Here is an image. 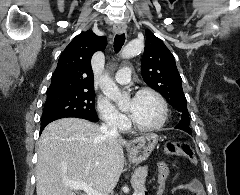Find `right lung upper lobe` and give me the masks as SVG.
I'll use <instances>...</instances> for the list:
<instances>
[{"instance_id":"right-lung-upper-lobe-1","label":"right lung upper lobe","mask_w":240,"mask_h":195,"mask_svg":"<svg viewBox=\"0 0 240 195\" xmlns=\"http://www.w3.org/2000/svg\"><path fill=\"white\" fill-rule=\"evenodd\" d=\"M106 38L91 30L83 32L69 43L59 57L47 95L68 91H94L91 57L104 50Z\"/></svg>"}]
</instances>
